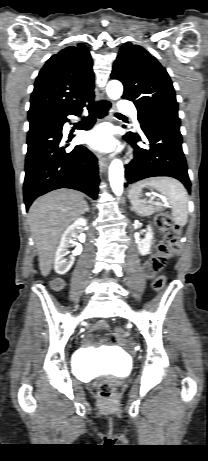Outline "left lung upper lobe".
I'll use <instances>...</instances> for the list:
<instances>
[{
  "label": "left lung upper lobe",
  "instance_id": "obj_1",
  "mask_svg": "<svg viewBox=\"0 0 208 461\" xmlns=\"http://www.w3.org/2000/svg\"><path fill=\"white\" fill-rule=\"evenodd\" d=\"M111 78L123 83L122 98L134 102L139 123L155 114L178 116V103L169 74L141 46L127 42L121 47Z\"/></svg>",
  "mask_w": 208,
  "mask_h": 461
}]
</instances>
